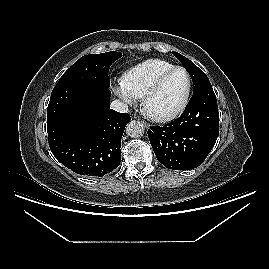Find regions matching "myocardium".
Returning a JSON list of instances; mask_svg holds the SVG:
<instances>
[{
	"mask_svg": "<svg viewBox=\"0 0 269 269\" xmlns=\"http://www.w3.org/2000/svg\"><path fill=\"white\" fill-rule=\"evenodd\" d=\"M176 71H183L187 77V89L181 103L175 109L169 112L163 113V114H153L149 112L148 103L150 99L160 90V88L162 87L164 82L167 80V78ZM192 86H193L192 77L189 71L185 67L174 66L173 68L165 71L154 81V83L142 95L141 106L144 113L150 119L157 122H167L174 119L180 113H182L184 109L186 108L190 99L191 92H192Z\"/></svg>",
	"mask_w": 269,
	"mask_h": 269,
	"instance_id": "myocardium-1",
	"label": "myocardium"
}]
</instances>
